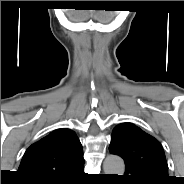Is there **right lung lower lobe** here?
<instances>
[{
    "label": "right lung lower lobe",
    "instance_id": "98d812e1",
    "mask_svg": "<svg viewBox=\"0 0 184 184\" xmlns=\"http://www.w3.org/2000/svg\"><path fill=\"white\" fill-rule=\"evenodd\" d=\"M83 168L76 175H74L72 178L65 180V181L55 182V184H74V183H77V178L83 174Z\"/></svg>",
    "mask_w": 184,
    "mask_h": 184
}]
</instances>
